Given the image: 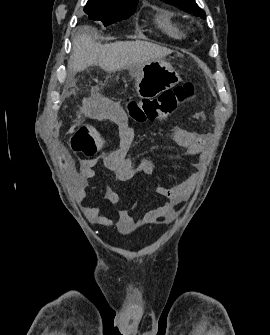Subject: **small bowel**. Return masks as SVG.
I'll list each match as a JSON object with an SVG mask.
<instances>
[{
  "mask_svg": "<svg viewBox=\"0 0 270 335\" xmlns=\"http://www.w3.org/2000/svg\"><path fill=\"white\" fill-rule=\"evenodd\" d=\"M99 119H110L114 121L119 128V147L109 153H103L100 156L108 170L114 173L120 182H126L137 174L150 175L153 172L154 164L148 159H142L134 164L128 157V151L134 141L135 134L128 121V118L120 106L116 103H105L104 107L95 114ZM174 138L176 143L185 150V157L192 161L193 166L199 168L201 162L195 161L198 154L203 153L206 146V137L196 133L189 132L185 129L174 128ZM50 151H57V144H50ZM53 161H58L61 165L62 173H70L71 169H78V162L71 158L70 154H53ZM98 162L97 158L82 159L80 169L76 175L78 191L76 199L82 201L85 198V189L88 182L95 176L94 167ZM199 176L193 174L187 179L176 183L172 186H158L155 192L166 199L161 206L148 210L143 216L145 224H152L159 220H169L174 214L175 207L185 200ZM105 198L112 205L120 203V195L111 187L105 189ZM84 216L94 224L110 227L113 225V219L101 212L97 206H88L83 208ZM116 227L120 232L127 231L131 226V213L125 208L117 209Z\"/></svg>",
  "mask_w": 270,
  "mask_h": 335,
  "instance_id": "small-bowel-1",
  "label": "small bowel"
}]
</instances>
